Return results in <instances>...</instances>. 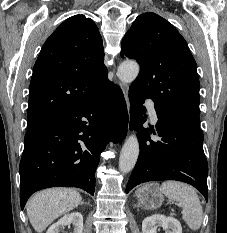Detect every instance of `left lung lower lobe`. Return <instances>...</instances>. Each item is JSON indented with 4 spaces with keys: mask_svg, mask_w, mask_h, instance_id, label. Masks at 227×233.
<instances>
[{
    "mask_svg": "<svg viewBox=\"0 0 227 233\" xmlns=\"http://www.w3.org/2000/svg\"><path fill=\"white\" fill-rule=\"evenodd\" d=\"M146 96L129 89L130 128L137 131L140 154L126 187L153 180H177L191 184L208 199V164L203 151V133L197 127L177 118L169 109L155 104L158 116L156 130L143 128L146 121ZM150 133L161 137L153 141Z\"/></svg>",
    "mask_w": 227,
    "mask_h": 233,
    "instance_id": "obj_1",
    "label": "left lung lower lobe"
}]
</instances>
